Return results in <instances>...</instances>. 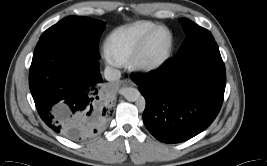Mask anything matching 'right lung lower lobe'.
Listing matches in <instances>:
<instances>
[{
    "label": "right lung lower lobe",
    "mask_w": 267,
    "mask_h": 166,
    "mask_svg": "<svg viewBox=\"0 0 267 166\" xmlns=\"http://www.w3.org/2000/svg\"><path fill=\"white\" fill-rule=\"evenodd\" d=\"M98 58L65 39L46 37L36 45L29 86L42 120L74 141L101 132L111 116Z\"/></svg>",
    "instance_id": "98d812e1"
}]
</instances>
